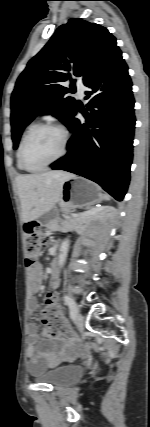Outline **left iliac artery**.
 <instances>
[{
  "mask_svg": "<svg viewBox=\"0 0 150 427\" xmlns=\"http://www.w3.org/2000/svg\"><path fill=\"white\" fill-rule=\"evenodd\" d=\"M64 301L69 306L71 319H74L78 310L75 301L67 295L64 296Z\"/></svg>",
  "mask_w": 150,
  "mask_h": 427,
  "instance_id": "1",
  "label": "left iliac artery"
}]
</instances>
